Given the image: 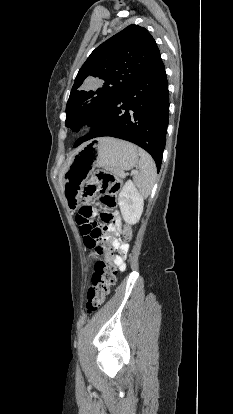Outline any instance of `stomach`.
Returning a JSON list of instances; mask_svg holds the SVG:
<instances>
[{
	"instance_id": "1",
	"label": "stomach",
	"mask_w": 233,
	"mask_h": 414,
	"mask_svg": "<svg viewBox=\"0 0 233 414\" xmlns=\"http://www.w3.org/2000/svg\"><path fill=\"white\" fill-rule=\"evenodd\" d=\"M138 148L114 138H97L87 142L73 157L63 179V192L71 209L79 201L82 186L89 173L96 167L112 172L130 170L139 163Z\"/></svg>"
}]
</instances>
